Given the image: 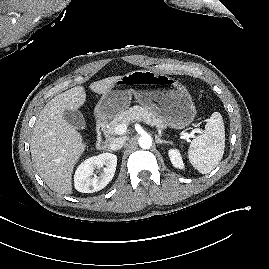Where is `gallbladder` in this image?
Masks as SVG:
<instances>
[{"mask_svg":"<svg viewBox=\"0 0 269 269\" xmlns=\"http://www.w3.org/2000/svg\"><path fill=\"white\" fill-rule=\"evenodd\" d=\"M63 117L68 124L77 130H83L86 128L85 119L82 113L78 110H65Z\"/></svg>","mask_w":269,"mask_h":269,"instance_id":"1","label":"gallbladder"}]
</instances>
